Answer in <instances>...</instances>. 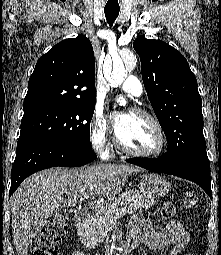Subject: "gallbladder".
<instances>
[{"label": "gallbladder", "mask_w": 221, "mask_h": 255, "mask_svg": "<svg viewBox=\"0 0 221 255\" xmlns=\"http://www.w3.org/2000/svg\"><path fill=\"white\" fill-rule=\"evenodd\" d=\"M63 214H66V210H64V209H57L55 212H54V216H61V215H63Z\"/></svg>", "instance_id": "1"}]
</instances>
